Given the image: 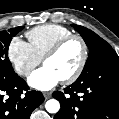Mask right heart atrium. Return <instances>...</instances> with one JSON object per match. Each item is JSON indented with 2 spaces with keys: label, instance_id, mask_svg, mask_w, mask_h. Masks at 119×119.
<instances>
[{
  "label": "right heart atrium",
  "instance_id": "d8ad5b80",
  "mask_svg": "<svg viewBox=\"0 0 119 119\" xmlns=\"http://www.w3.org/2000/svg\"><path fill=\"white\" fill-rule=\"evenodd\" d=\"M7 54L15 72L22 77L29 76L41 62L30 44L18 36L11 39Z\"/></svg>",
  "mask_w": 119,
  "mask_h": 119
}]
</instances>
